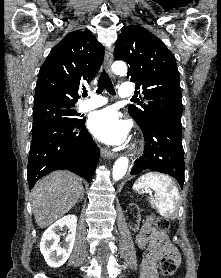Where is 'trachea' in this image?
<instances>
[{
    "label": "trachea",
    "instance_id": "1",
    "mask_svg": "<svg viewBox=\"0 0 221 278\" xmlns=\"http://www.w3.org/2000/svg\"><path fill=\"white\" fill-rule=\"evenodd\" d=\"M104 89H106L109 92V94L115 95V89L113 87L112 81L109 78L108 74L105 72V70H103L101 72V75L98 80V88H97L96 92L98 94H101ZM82 95H83V97H86L87 91L84 90ZM132 100H134V99H132Z\"/></svg>",
    "mask_w": 221,
    "mask_h": 278
}]
</instances>
